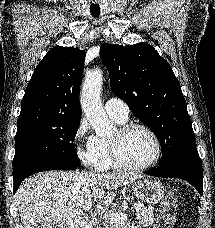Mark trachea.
Masks as SVG:
<instances>
[{
	"mask_svg": "<svg viewBox=\"0 0 215 228\" xmlns=\"http://www.w3.org/2000/svg\"><path fill=\"white\" fill-rule=\"evenodd\" d=\"M93 17H99V14H92Z\"/></svg>",
	"mask_w": 215,
	"mask_h": 228,
	"instance_id": "3493384b",
	"label": "trachea"
}]
</instances>
